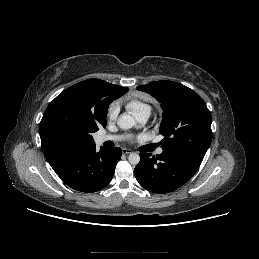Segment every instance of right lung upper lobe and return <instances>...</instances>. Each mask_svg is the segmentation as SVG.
I'll list each match as a JSON object with an SVG mask.
<instances>
[{"label":"right lung upper lobe","instance_id":"right-lung-upper-lobe-1","mask_svg":"<svg viewBox=\"0 0 259 259\" xmlns=\"http://www.w3.org/2000/svg\"><path fill=\"white\" fill-rule=\"evenodd\" d=\"M128 92V88L114 85L100 79L79 82L60 93L47 107L40 122L42 150L47 161L52 160L63 150L48 149L42 140V127L49 116L58 109H66L94 121L99 127L106 126L107 110L110 103ZM95 145L86 140L72 149H82Z\"/></svg>","mask_w":259,"mask_h":259}]
</instances>
